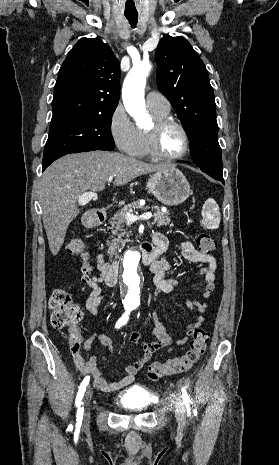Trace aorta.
Masks as SVG:
<instances>
[{
	"instance_id": "1",
	"label": "aorta",
	"mask_w": 279,
	"mask_h": 465,
	"mask_svg": "<svg viewBox=\"0 0 279 465\" xmlns=\"http://www.w3.org/2000/svg\"><path fill=\"white\" fill-rule=\"evenodd\" d=\"M148 62L134 65L127 74L122 88L123 104L127 112L140 124L147 117L144 89L150 71ZM140 254L137 250H128L123 258L121 280L125 290V300L136 303L139 300L141 276L139 271Z\"/></svg>"
}]
</instances>
